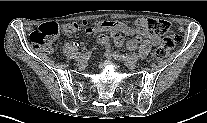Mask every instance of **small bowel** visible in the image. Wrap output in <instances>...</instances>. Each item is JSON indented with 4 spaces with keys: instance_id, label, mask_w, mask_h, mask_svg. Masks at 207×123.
<instances>
[{
    "instance_id": "1",
    "label": "small bowel",
    "mask_w": 207,
    "mask_h": 123,
    "mask_svg": "<svg viewBox=\"0 0 207 123\" xmlns=\"http://www.w3.org/2000/svg\"><path fill=\"white\" fill-rule=\"evenodd\" d=\"M88 32L99 34L97 43L106 50H109L110 48V39L104 33H110L117 46H121L123 44V38L121 34L134 36V38L130 39L126 44L129 50H135L137 46L144 41H147L149 44L154 46L159 45L161 42L160 36L151 33L148 29L138 27L133 28L122 21H99L96 22L88 30Z\"/></svg>"
}]
</instances>
